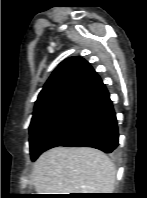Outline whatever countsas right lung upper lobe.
<instances>
[{
    "instance_id": "right-lung-upper-lobe-1",
    "label": "right lung upper lobe",
    "mask_w": 147,
    "mask_h": 198,
    "mask_svg": "<svg viewBox=\"0 0 147 198\" xmlns=\"http://www.w3.org/2000/svg\"><path fill=\"white\" fill-rule=\"evenodd\" d=\"M102 83L90 64L70 57L51 74L40 92L34 110L54 104H76Z\"/></svg>"
}]
</instances>
